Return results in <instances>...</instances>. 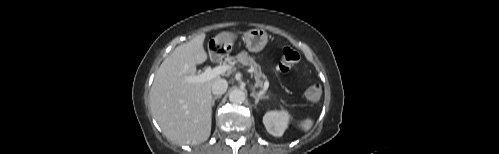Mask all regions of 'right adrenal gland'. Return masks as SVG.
<instances>
[{"instance_id": "right-adrenal-gland-1", "label": "right adrenal gland", "mask_w": 499, "mask_h": 154, "mask_svg": "<svg viewBox=\"0 0 499 154\" xmlns=\"http://www.w3.org/2000/svg\"><path fill=\"white\" fill-rule=\"evenodd\" d=\"M219 98H221V96H220V95H217V96L213 97V99H212V107L215 105V101H216L217 99H219Z\"/></svg>"}]
</instances>
